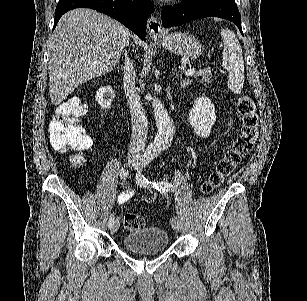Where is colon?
Masks as SVG:
<instances>
[{
  "label": "colon",
  "mask_w": 307,
  "mask_h": 301,
  "mask_svg": "<svg viewBox=\"0 0 307 301\" xmlns=\"http://www.w3.org/2000/svg\"><path fill=\"white\" fill-rule=\"evenodd\" d=\"M237 110L242 120V128L231 146L217 162L214 170L201 185L205 195L218 188L251 151L258 137V115L256 105L249 95H242L237 101ZM87 106L79 99H70L62 103L56 111L51 123V143L59 151H84L91 147L92 139L81 124V118L86 114ZM73 162L80 165L83 156L77 154ZM123 224L128 231H137L144 226L140 215L127 213Z\"/></svg>",
  "instance_id": "colon-1"
}]
</instances>
